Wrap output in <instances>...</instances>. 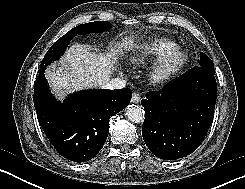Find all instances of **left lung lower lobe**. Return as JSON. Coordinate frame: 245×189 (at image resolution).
I'll list each match as a JSON object with an SVG mask.
<instances>
[{"instance_id":"0a47b994","label":"left lung lower lobe","mask_w":245,"mask_h":189,"mask_svg":"<svg viewBox=\"0 0 245 189\" xmlns=\"http://www.w3.org/2000/svg\"><path fill=\"white\" fill-rule=\"evenodd\" d=\"M215 73L194 67L160 91L146 93L142 136L158 158L176 160L196 150L213 121Z\"/></svg>"}]
</instances>
